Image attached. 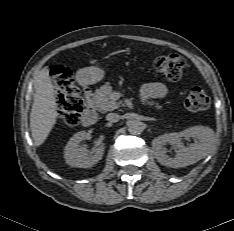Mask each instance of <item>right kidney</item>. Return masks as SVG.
<instances>
[{
    "instance_id": "obj_1",
    "label": "right kidney",
    "mask_w": 234,
    "mask_h": 231,
    "mask_svg": "<svg viewBox=\"0 0 234 231\" xmlns=\"http://www.w3.org/2000/svg\"><path fill=\"white\" fill-rule=\"evenodd\" d=\"M89 138L88 133L80 131L74 134L64 148V158L66 163L72 167L87 168L95 165L102 159L104 154V144L100 141L92 152L80 147V142Z\"/></svg>"
}]
</instances>
